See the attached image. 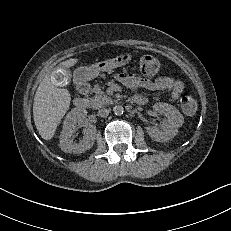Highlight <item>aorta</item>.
I'll return each instance as SVG.
<instances>
[{
  "label": "aorta",
  "mask_w": 231,
  "mask_h": 231,
  "mask_svg": "<svg viewBox=\"0 0 231 231\" xmlns=\"http://www.w3.org/2000/svg\"><path fill=\"white\" fill-rule=\"evenodd\" d=\"M113 112H114L115 115L121 116L123 114V112H124V108L121 105H116L113 108Z\"/></svg>",
  "instance_id": "1"
}]
</instances>
